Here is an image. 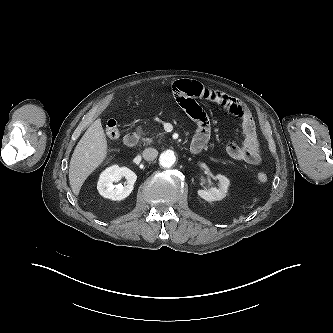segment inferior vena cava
I'll return each instance as SVG.
<instances>
[{
	"instance_id": "602c4592",
	"label": "inferior vena cava",
	"mask_w": 333,
	"mask_h": 333,
	"mask_svg": "<svg viewBox=\"0 0 333 333\" xmlns=\"http://www.w3.org/2000/svg\"><path fill=\"white\" fill-rule=\"evenodd\" d=\"M158 155V151L154 148H146L144 151H143V158L146 160V161H152L154 160Z\"/></svg>"
}]
</instances>
